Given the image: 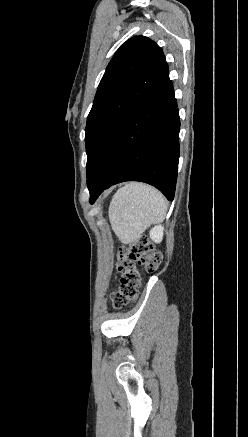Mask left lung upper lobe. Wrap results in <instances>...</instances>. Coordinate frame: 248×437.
<instances>
[{
	"label": "left lung upper lobe",
	"mask_w": 248,
	"mask_h": 437,
	"mask_svg": "<svg viewBox=\"0 0 248 437\" xmlns=\"http://www.w3.org/2000/svg\"><path fill=\"white\" fill-rule=\"evenodd\" d=\"M168 75L162 49L147 37H132L116 51L100 81L87 118L88 187L121 126Z\"/></svg>",
	"instance_id": "5c2ea615"
}]
</instances>
